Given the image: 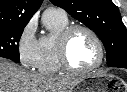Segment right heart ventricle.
I'll return each mask as SVG.
<instances>
[{
    "label": "right heart ventricle",
    "instance_id": "e07e8e85",
    "mask_svg": "<svg viewBox=\"0 0 127 92\" xmlns=\"http://www.w3.org/2000/svg\"><path fill=\"white\" fill-rule=\"evenodd\" d=\"M44 23L49 33L38 40V62L36 69L41 74H59L63 72L58 56V40L61 33L70 25L68 17L60 12H46Z\"/></svg>",
    "mask_w": 127,
    "mask_h": 92
}]
</instances>
